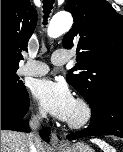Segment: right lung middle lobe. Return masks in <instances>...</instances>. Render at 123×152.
Returning <instances> with one entry per match:
<instances>
[{
	"label": "right lung middle lobe",
	"mask_w": 123,
	"mask_h": 152,
	"mask_svg": "<svg viewBox=\"0 0 123 152\" xmlns=\"http://www.w3.org/2000/svg\"><path fill=\"white\" fill-rule=\"evenodd\" d=\"M16 71L17 68L1 67V97H20L27 92Z\"/></svg>",
	"instance_id": "dd1d6c3e"
}]
</instances>
